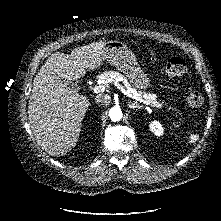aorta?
Instances as JSON below:
<instances>
[{
    "mask_svg": "<svg viewBox=\"0 0 221 221\" xmlns=\"http://www.w3.org/2000/svg\"><path fill=\"white\" fill-rule=\"evenodd\" d=\"M109 116L112 121H119L122 119V110L119 107H112L109 110Z\"/></svg>",
    "mask_w": 221,
    "mask_h": 221,
    "instance_id": "obj_1",
    "label": "aorta"
}]
</instances>
